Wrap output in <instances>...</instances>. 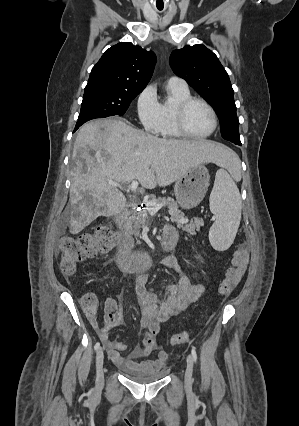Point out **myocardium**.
<instances>
[{"instance_id": "myocardium-1", "label": "myocardium", "mask_w": 299, "mask_h": 426, "mask_svg": "<svg viewBox=\"0 0 299 426\" xmlns=\"http://www.w3.org/2000/svg\"><path fill=\"white\" fill-rule=\"evenodd\" d=\"M194 103H201L203 104L205 107H207V109L210 111L212 118H213V127L212 129L204 134V135H196L191 133L186 125V114L188 109L190 108L191 105H193ZM175 125L176 128L178 130V132L181 134V136L186 137V138H190V139H196V140H202V139H206L208 137H210L211 135H213L215 133V131L217 130L218 127V116L217 113L214 109V107L205 99L200 98V97H189L187 99H184L183 101H181L175 109Z\"/></svg>"}]
</instances>
